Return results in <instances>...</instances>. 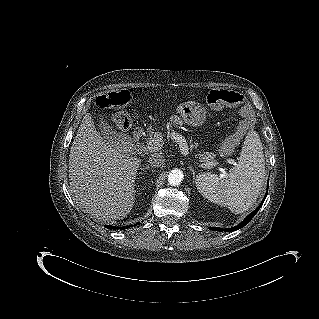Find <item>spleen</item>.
<instances>
[{
	"mask_svg": "<svg viewBox=\"0 0 319 319\" xmlns=\"http://www.w3.org/2000/svg\"><path fill=\"white\" fill-rule=\"evenodd\" d=\"M265 175L261 140L257 132L249 131L237 165L225 177L209 172L197 175L196 186L209 201L239 214L254 205L264 186Z\"/></svg>",
	"mask_w": 319,
	"mask_h": 319,
	"instance_id": "obj_1",
	"label": "spleen"
}]
</instances>
